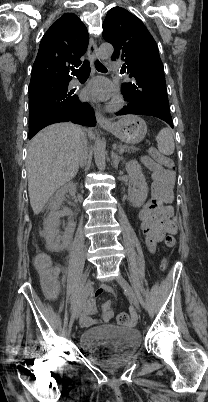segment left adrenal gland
<instances>
[{
    "label": "left adrenal gland",
    "mask_w": 208,
    "mask_h": 402,
    "mask_svg": "<svg viewBox=\"0 0 208 402\" xmlns=\"http://www.w3.org/2000/svg\"><path fill=\"white\" fill-rule=\"evenodd\" d=\"M111 158L113 162L112 166H114V168L117 170L120 160H124V158H122V156H118V154H115V152H112Z\"/></svg>",
    "instance_id": "obj_1"
}]
</instances>
